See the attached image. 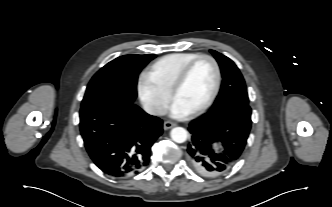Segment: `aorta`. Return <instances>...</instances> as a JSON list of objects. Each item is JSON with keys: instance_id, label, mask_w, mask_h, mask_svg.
Returning a JSON list of instances; mask_svg holds the SVG:
<instances>
[{"instance_id": "obj_1", "label": "aorta", "mask_w": 332, "mask_h": 207, "mask_svg": "<svg viewBox=\"0 0 332 207\" xmlns=\"http://www.w3.org/2000/svg\"><path fill=\"white\" fill-rule=\"evenodd\" d=\"M171 139L176 143H183L187 140L188 133L182 127H175L170 132Z\"/></svg>"}]
</instances>
